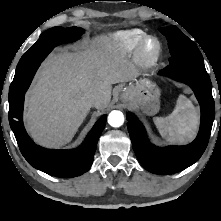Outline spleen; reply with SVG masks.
<instances>
[{
    "label": "spleen",
    "mask_w": 221,
    "mask_h": 221,
    "mask_svg": "<svg viewBox=\"0 0 221 221\" xmlns=\"http://www.w3.org/2000/svg\"><path fill=\"white\" fill-rule=\"evenodd\" d=\"M160 135L171 143H186L194 138L199 125V114L192 102L179 96L176 107L167 117L153 119Z\"/></svg>",
    "instance_id": "1"
}]
</instances>
